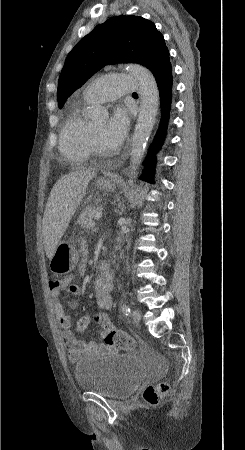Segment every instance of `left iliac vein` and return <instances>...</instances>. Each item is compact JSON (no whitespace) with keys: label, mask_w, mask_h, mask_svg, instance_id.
<instances>
[{"label":"left iliac vein","mask_w":245,"mask_h":450,"mask_svg":"<svg viewBox=\"0 0 245 450\" xmlns=\"http://www.w3.org/2000/svg\"><path fill=\"white\" fill-rule=\"evenodd\" d=\"M132 318L135 322H138L141 320L142 314L141 311L139 309H133L132 310Z\"/></svg>","instance_id":"obj_1"}]
</instances>
